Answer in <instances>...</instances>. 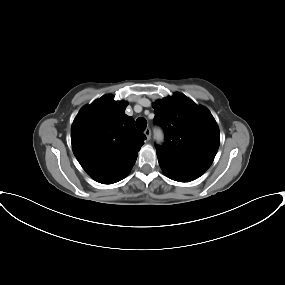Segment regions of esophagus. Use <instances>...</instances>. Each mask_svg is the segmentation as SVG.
I'll return each mask as SVG.
<instances>
[{"instance_id":"obj_1","label":"esophagus","mask_w":285,"mask_h":285,"mask_svg":"<svg viewBox=\"0 0 285 285\" xmlns=\"http://www.w3.org/2000/svg\"><path fill=\"white\" fill-rule=\"evenodd\" d=\"M144 134L146 135L147 140L151 139V130L150 128H146L144 131Z\"/></svg>"}]
</instances>
